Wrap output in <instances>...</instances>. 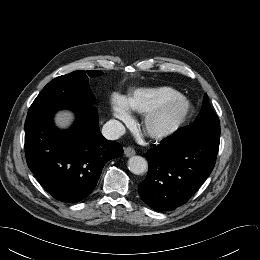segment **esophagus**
Here are the masks:
<instances>
[{"mask_svg":"<svg viewBox=\"0 0 260 260\" xmlns=\"http://www.w3.org/2000/svg\"><path fill=\"white\" fill-rule=\"evenodd\" d=\"M135 150L132 148V147H126L125 149H124V154H125V156H127V157H131V156H133V155H135Z\"/></svg>","mask_w":260,"mask_h":260,"instance_id":"obj_1","label":"esophagus"}]
</instances>
